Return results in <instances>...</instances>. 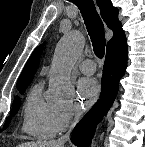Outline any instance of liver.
I'll return each mask as SVG.
<instances>
[{"instance_id": "obj_1", "label": "liver", "mask_w": 145, "mask_h": 147, "mask_svg": "<svg viewBox=\"0 0 145 147\" xmlns=\"http://www.w3.org/2000/svg\"><path fill=\"white\" fill-rule=\"evenodd\" d=\"M18 147H63L57 141H38L26 142L18 145Z\"/></svg>"}]
</instances>
